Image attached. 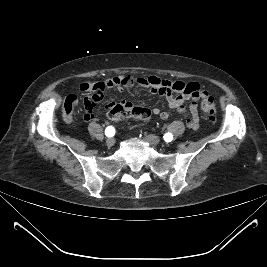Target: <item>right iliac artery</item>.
<instances>
[{
	"instance_id": "1",
	"label": "right iliac artery",
	"mask_w": 267,
	"mask_h": 267,
	"mask_svg": "<svg viewBox=\"0 0 267 267\" xmlns=\"http://www.w3.org/2000/svg\"><path fill=\"white\" fill-rule=\"evenodd\" d=\"M115 134V129L112 126H109L105 130V135L108 137H112Z\"/></svg>"
}]
</instances>
